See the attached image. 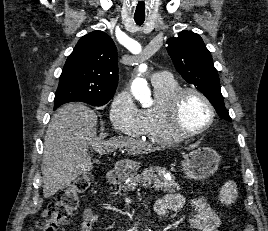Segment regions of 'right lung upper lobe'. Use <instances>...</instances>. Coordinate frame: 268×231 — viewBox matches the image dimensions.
<instances>
[{
    "label": "right lung upper lobe",
    "mask_w": 268,
    "mask_h": 231,
    "mask_svg": "<svg viewBox=\"0 0 268 231\" xmlns=\"http://www.w3.org/2000/svg\"><path fill=\"white\" fill-rule=\"evenodd\" d=\"M118 84L117 48L110 36L93 31L69 55L60 76L57 103L112 98Z\"/></svg>",
    "instance_id": "cb5924a9"
}]
</instances>
